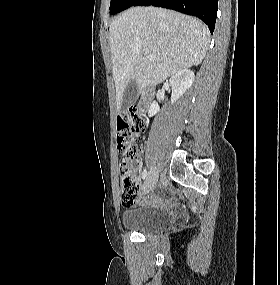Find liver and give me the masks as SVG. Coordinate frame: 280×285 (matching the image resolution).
Here are the masks:
<instances>
[{
    "instance_id": "liver-1",
    "label": "liver",
    "mask_w": 280,
    "mask_h": 285,
    "mask_svg": "<svg viewBox=\"0 0 280 285\" xmlns=\"http://www.w3.org/2000/svg\"><path fill=\"white\" fill-rule=\"evenodd\" d=\"M209 42L208 28L193 17L154 7L123 12L109 27L117 111L131 80L136 81L139 95L178 71L199 65ZM144 49H149L155 60H150Z\"/></svg>"
}]
</instances>
